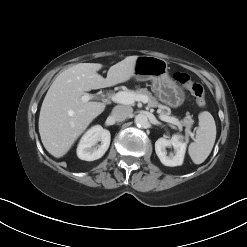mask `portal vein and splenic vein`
I'll list each match as a JSON object with an SVG mask.
<instances>
[{"instance_id":"18ae733b","label":"portal vein and splenic vein","mask_w":247,"mask_h":247,"mask_svg":"<svg viewBox=\"0 0 247 247\" xmlns=\"http://www.w3.org/2000/svg\"><path fill=\"white\" fill-rule=\"evenodd\" d=\"M94 98H95L94 95L84 94L81 97V100L83 102H88L89 100L94 99ZM109 98L115 103H120V104H125V105H132L135 101H141L143 103H147V101H148L146 96L135 95L131 92H125V91H119L116 94L110 95ZM159 118L162 121H165V122H168V123H171V124L178 126V128L180 130L182 129L181 122L175 117H168V116L160 114ZM191 136H193V134H191Z\"/></svg>"}]
</instances>
